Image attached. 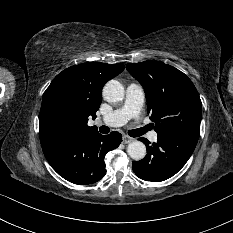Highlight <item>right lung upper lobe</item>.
Returning a JSON list of instances; mask_svg holds the SVG:
<instances>
[{
    "label": "right lung upper lobe",
    "instance_id": "1",
    "mask_svg": "<svg viewBox=\"0 0 233 233\" xmlns=\"http://www.w3.org/2000/svg\"><path fill=\"white\" fill-rule=\"evenodd\" d=\"M123 70V64L88 62L59 73L43 95L39 114L41 144L97 131L87 125L88 117H96L105 82Z\"/></svg>",
    "mask_w": 233,
    "mask_h": 233
}]
</instances>
